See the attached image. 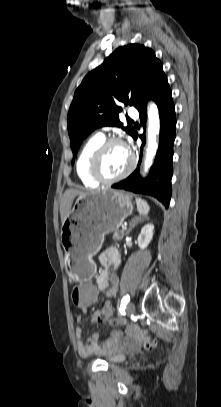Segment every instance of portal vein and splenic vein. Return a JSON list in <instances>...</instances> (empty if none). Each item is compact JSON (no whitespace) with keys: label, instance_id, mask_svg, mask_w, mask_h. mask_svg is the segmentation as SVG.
<instances>
[{"label":"portal vein and splenic vein","instance_id":"obj_1","mask_svg":"<svg viewBox=\"0 0 221 407\" xmlns=\"http://www.w3.org/2000/svg\"><path fill=\"white\" fill-rule=\"evenodd\" d=\"M126 229H127V226H126V225L122 227V230H126Z\"/></svg>","mask_w":221,"mask_h":407}]
</instances>
